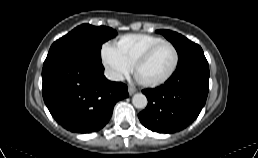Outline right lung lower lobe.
<instances>
[{
  "instance_id": "right-lung-lower-lobe-1",
  "label": "right lung lower lobe",
  "mask_w": 258,
  "mask_h": 158,
  "mask_svg": "<svg viewBox=\"0 0 258 158\" xmlns=\"http://www.w3.org/2000/svg\"><path fill=\"white\" fill-rule=\"evenodd\" d=\"M103 73L102 62L87 55L63 54L44 61L43 99L64 128L98 131L110 120L116 102L129 96L127 85L111 82Z\"/></svg>"
}]
</instances>
